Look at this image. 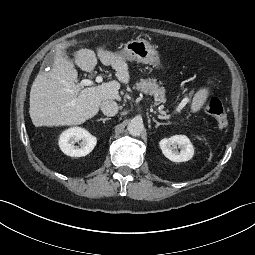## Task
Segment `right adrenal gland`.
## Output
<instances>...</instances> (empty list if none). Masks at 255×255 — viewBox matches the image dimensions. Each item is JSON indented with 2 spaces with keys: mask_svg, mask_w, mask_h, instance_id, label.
<instances>
[{
  "mask_svg": "<svg viewBox=\"0 0 255 255\" xmlns=\"http://www.w3.org/2000/svg\"><path fill=\"white\" fill-rule=\"evenodd\" d=\"M111 120V118H100L98 121H102L105 124V121Z\"/></svg>",
  "mask_w": 255,
  "mask_h": 255,
  "instance_id": "right-adrenal-gland-1",
  "label": "right adrenal gland"
}]
</instances>
